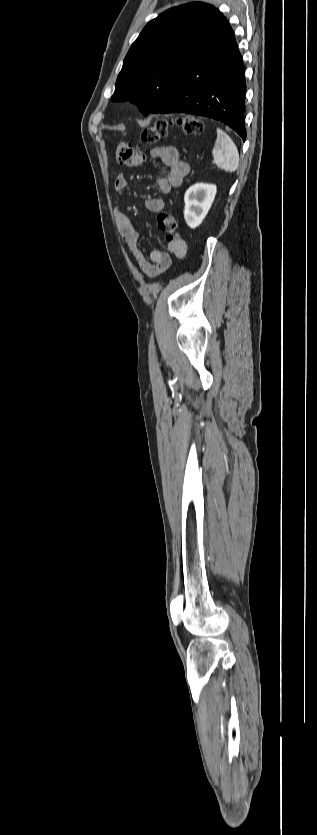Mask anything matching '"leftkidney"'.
<instances>
[{
  "label": "left kidney",
  "instance_id": "obj_1",
  "mask_svg": "<svg viewBox=\"0 0 317 835\" xmlns=\"http://www.w3.org/2000/svg\"><path fill=\"white\" fill-rule=\"evenodd\" d=\"M217 188L213 184L197 183L191 186L184 196V218L191 228L198 227L215 199Z\"/></svg>",
  "mask_w": 317,
  "mask_h": 835
}]
</instances>
